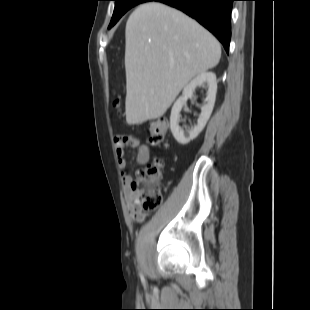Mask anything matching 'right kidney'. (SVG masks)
I'll return each instance as SVG.
<instances>
[{"label":"right kidney","mask_w":310,"mask_h":310,"mask_svg":"<svg viewBox=\"0 0 310 310\" xmlns=\"http://www.w3.org/2000/svg\"><path fill=\"white\" fill-rule=\"evenodd\" d=\"M207 84L208 91L206 97V104L201 107V114L198 118L197 124L191 129H186L179 126L180 111L186 105L188 98L193 96L195 88L202 84ZM217 92L216 75L213 72H203L197 75L188 85L184 87L182 95L175 101L170 115V129L175 140L181 144L186 145L195 139L204 129L207 121L209 120Z\"/></svg>","instance_id":"right-kidney-1"}]
</instances>
